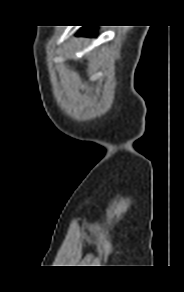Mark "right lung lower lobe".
<instances>
[{
    "mask_svg": "<svg viewBox=\"0 0 184 292\" xmlns=\"http://www.w3.org/2000/svg\"><path fill=\"white\" fill-rule=\"evenodd\" d=\"M95 30L92 28V26H85L82 30H80L79 34H95Z\"/></svg>",
    "mask_w": 184,
    "mask_h": 292,
    "instance_id": "obj_1",
    "label": "right lung lower lobe"
}]
</instances>
